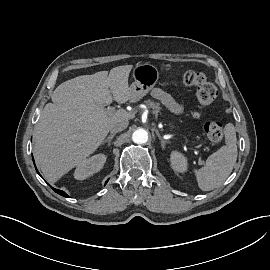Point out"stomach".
I'll return each mask as SVG.
<instances>
[{"mask_svg":"<svg viewBox=\"0 0 270 270\" xmlns=\"http://www.w3.org/2000/svg\"><path fill=\"white\" fill-rule=\"evenodd\" d=\"M133 78L134 82L130 86L131 101H138L155 86L159 71L152 64L140 63L133 69Z\"/></svg>","mask_w":270,"mask_h":270,"instance_id":"obj_1","label":"stomach"}]
</instances>
